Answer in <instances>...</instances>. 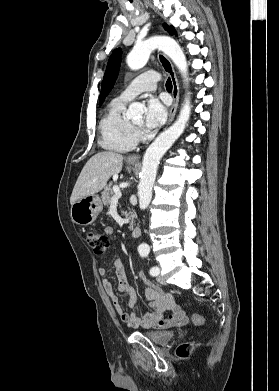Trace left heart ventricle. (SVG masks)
<instances>
[{"label":"left heart ventricle","mask_w":279,"mask_h":391,"mask_svg":"<svg viewBox=\"0 0 279 391\" xmlns=\"http://www.w3.org/2000/svg\"><path fill=\"white\" fill-rule=\"evenodd\" d=\"M136 125H140L142 123V118L136 119L133 121Z\"/></svg>","instance_id":"1"}]
</instances>
